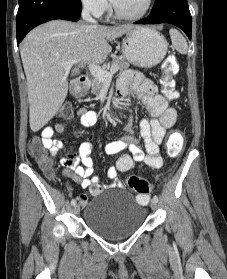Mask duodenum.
<instances>
[{"instance_id":"1","label":"duodenum","mask_w":227,"mask_h":279,"mask_svg":"<svg viewBox=\"0 0 227 279\" xmlns=\"http://www.w3.org/2000/svg\"><path fill=\"white\" fill-rule=\"evenodd\" d=\"M88 86V81L87 78H78L72 88H71V94L74 97H82L84 96Z\"/></svg>"}]
</instances>
